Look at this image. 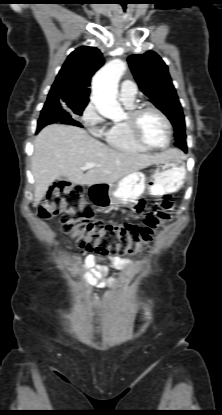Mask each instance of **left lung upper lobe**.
Masks as SVG:
<instances>
[{
  "instance_id": "left-lung-upper-lobe-1",
  "label": "left lung upper lobe",
  "mask_w": 222,
  "mask_h": 415,
  "mask_svg": "<svg viewBox=\"0 0 222 415\" xmlns=\"http://www.w3.org/2000/svg\"><path fill=\"white\" fill-rule=\"evenodd\" d=\"M127 60L140 90L169 118L175 131V145L184 150L185 120L167 65L153 51L131 55Z\"/></svg>"
}]
</instances>
